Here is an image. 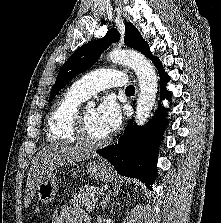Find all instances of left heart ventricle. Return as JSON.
<instances>
[{
	"label": "left heart ventricle",
	"instance_id": "1",
	"mask_svg": "<svg viewBox=\"0 0 221 223\" xmlns=\"http://www.w3.org/2000/svg\"><path fill=\"white\" fill-rule=\"evenodd\" d=\"M83 114L86 122L87 136L90 139L101 140L107 137L98 125L96 111L94 109H85Z\"/></svg>",
	"mask_w": 221,
	"mask_h": 223
}]
</instances>
